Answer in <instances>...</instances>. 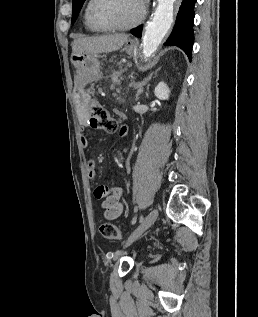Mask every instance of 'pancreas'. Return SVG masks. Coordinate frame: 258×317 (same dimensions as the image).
I'll use <instances>...</instances> for the list:
<instances>
[{
  "mask_svg": "<svg viewBox=\"0 0 258 317\" xmlns=\"http://www.w3.org/2000/svg\"><path fill=\"white\" fill-rule=\"evenodd\" d=\"M111 81L113 83L112 88L115 90L116 93L124 92V87L120 83V78L113 77Z\"/></svg>",
  "mask_w": 258,
  "mask_h": 317,
  "instance_id": "obj_1",
  "label": "pancreas"
}]
</instances>
